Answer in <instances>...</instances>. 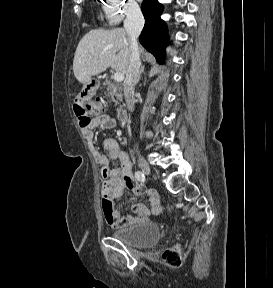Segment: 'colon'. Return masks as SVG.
<instances>
[{"mask_svg": "<svg viewBox=\"0 0 273 288\" xmlns=\"http://www.w3.org/2000/svg\"><path fill=\"white\" fill-rule=\"evenodd\" d=\"M74 113L81 127H87L91 121L90 115H97L101 112L102 105L99 100L88 103L78 99L73 104ZM164 261L174 267H178L182 262L180 248L177 246L166 249L163 252Z\"/></svg>", "mask_w": 273, "mask_h": 288, "instance_id": "1", "label": "colon"}]
</instances>
